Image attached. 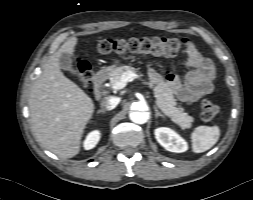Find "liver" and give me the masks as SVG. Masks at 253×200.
Returning <instances> with one entry per match:
<instances>
[{"mask_svg": "<svg viewBox=\"0 0 253 200\" xmlns=\"http://www.w3.org/2000/svg\"><path fill=\"white\" fill-rule=\"evenodd\" d=\"M77 38H69L44 64L33 83L29 110L39 143L61 158L80 151L81 139L94 112L93 100L60 69V56L73 54Z\"/></svg>", "mask_w": 253, "mask_h": 200, "instance_id": "1", "label": "liver"}]
</instances>
